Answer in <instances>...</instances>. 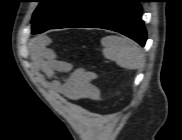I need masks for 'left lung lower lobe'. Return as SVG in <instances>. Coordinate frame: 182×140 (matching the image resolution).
I'll return each instance as SVG.
<instances>
[{"label": "left lung lower lobe", "instance_id": "1", "mask_svg": "<svg viewBox=\"0 0 182 140\" xmlns=\"http://www.w3.org/2000/svg\"><path fill=\"white\" fill-rule=\"evenodd\" d=\"M140 0H105L69 27L103 28L126 35L141 46L146 42Z\"/></svg>", "mask_w": 182, "mask_h": 140}]
</instances>
